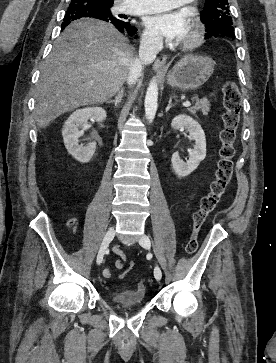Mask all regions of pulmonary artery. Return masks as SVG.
Here are the masks:
<instances>
[{
    "label": "pulmonary artery",
    "instance_id": "1",
    "mask_svg": "<svg viewBox=\"0 0 276 363\" xmlns=\"http://www.w3.org/2000/svg\"><path fill=\"white\" fill-rule=\"evenodd\" d=\"M192 0H125L123 6L130 14H149L177 8Z\"/></svg>",
    "mask_w": 276,
    "mask_h": 363
}]
</instances>
